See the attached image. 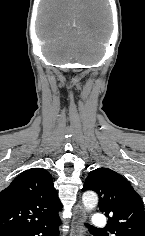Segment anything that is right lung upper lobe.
Returning a JSON list of instances; mask_svg holds the SVG:
<instances>
[{"label":"right lung upper lobe","mask_w":145,"mask_h":236,"mask_svg":"<svg viewBox=\"0 0 145 236\" xmlns=\"http://www.w3.org/2000/svg\"><path fill=\"white\" fill-rule=\"evenodd\" d=\"M61 209L51 174L29 169L0 193V235L38 228L59 218Z\"/></svg>","instance_id":"obj_1"}]
</instances>
